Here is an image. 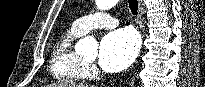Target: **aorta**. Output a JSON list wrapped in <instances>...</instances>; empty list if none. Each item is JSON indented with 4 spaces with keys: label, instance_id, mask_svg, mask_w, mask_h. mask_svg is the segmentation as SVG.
I'll list each match as a JSON object with an SVG mask.
<instances>
[{
    "label": "aorta",
    "instance_id": "762f6f07",
    "mask_svg": "<svg viewBox=\"0 0 205 87\" xmlns=\"http://www.w3.org/2000/svg\"><path fill=\"white\" fill-rule=\"evenodd\" d=\"M118 1L119 0H96V6L99 10H108L114 7ZM77 48L82 51L95 52L97 49V42L94 37L87 36L78 41Z\"/></svg>",
    "mask_w": 205,
    "mask_h": 87
}]
</instances>
